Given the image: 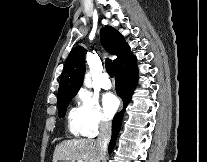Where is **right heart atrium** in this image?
<instances>
[{"mask_svg":"<svg viewBox=\"0 0 207 162\" xmlns=\"http://www.w3.org/2000/svg\"><path fill=\"white\" fill-rule=\"evenodd\" d=\"M78 103L81 112L83 134L88 137L95 136L99 130L109 125L97 99L87 92H80Z\"/></svg>","mask_w":207,"mask_h":162,"instance_id":"1","label":"right heart atrium"}]
</instances>
